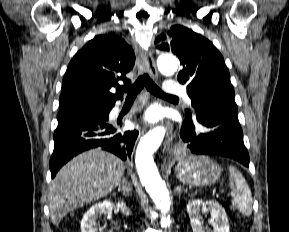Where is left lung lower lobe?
Segmentation results:
<instances>
[{
    "mask_svg": "<svg viewBox=\"0 0 289 232\" xmlns=\"http://www.w3.org/2000/svg\"><path fill=\"white\" fill-rule=\"evenodd\" d=\"M180 135L187 152L225 156L249 166L239 121L228 114L212 109L200 110L193 120L185 119Z\"/></svg>",
    "mask_w": 289,
    "mask_h": 232,
    "instance_id": "1",
    "label": "left lung lower lobe"
}]
</instances>
